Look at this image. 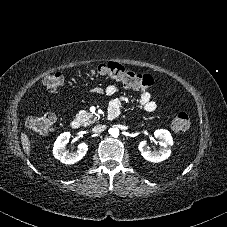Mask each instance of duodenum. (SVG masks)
I'll list each match as a JSON object with an SVG mask.
<instances>
[{
	"label": "duodenum",
	"mask_w": 227,
	"mask_h": 227,
	"mask_svg": "<svg viewBox=\"0 0 227 227\" xmlns=\"http://www.w3.org/2000/svg\"><path fill=\"white\" fill-rule=\"evenodd\" d=\"M118 116V112L115 109H110L107 114V119L108 120H114ZM81 121L79 119H73L71 121V127L75 130H78L81 128Z\"/></svg>",
	"instance_id": "duodenum-1"
}]
</instances>
